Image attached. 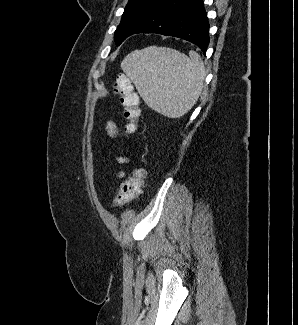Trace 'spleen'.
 I'll return each instance as SVG.
<instances>
[{
	"instance_id": "spleen-1",
	"label": "spleen",
	"mask_w": 298,
	"mask_h": 325,
	"mask_svg": "<svg viewBox=\"0 0 298 325\" xmlns=\"http://www.w3.org/2000/svg\"><path fill=\"white\" fill-rule=\"evenodd\" d=\"M144 102L169 118H180L198 100L205 78L200 54L189 56L168 46L132 50L121 62Z\"/></svg>"
}]
</instances>
